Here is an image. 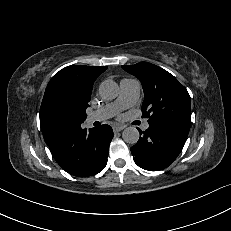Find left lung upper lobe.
Wrapping results in <instances>:
<instances>
[{"mask_svg":"<svg viewBox=\"0 0 231 231\" xmlns=\"http://www.w3.org/2000/svg\"><path fill=\"white\" fill-rule=\"evenodd\" d=\"M142 83L145 99L142 117L167 120L190 127L191 101L186 88L166 70L147 62L122 66Z\"/></svg>","mask_w":231,"mask_h":231,"instance_id":"left-lung-upper-lobe-1","label":"left lung upper lobe"}]
</instances>
